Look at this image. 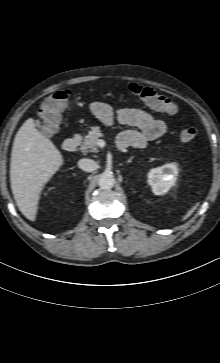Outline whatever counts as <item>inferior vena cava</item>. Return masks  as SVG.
<instances>
[{"label": "inferior vena cava", "instance_id": "1", "mask_svg": "<svg viewBox=\"0 0 220 363\" xmlns=\"http://www.w3.org/2000/svg\"><path fill=\"white\" fill-rule=\"evenodd\" d=\"M80 169L86 172H93L98 168V164L92 159H80L78 162Z\"/></svg>", "mask_w": 220, "mask_h": 363}]
</instances>
